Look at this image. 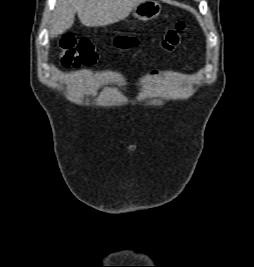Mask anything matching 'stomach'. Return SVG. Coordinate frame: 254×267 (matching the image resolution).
Wrapping results in <instances>:
<instances>
[{
  "mask_svg": "<svg viewBox=\"0 0 254 267\" xmlns=\"http://www.w3.org/2000/svg\"><path fill=\"white\" fill-rule=\"evenodd\" d=\"M161 8L155 0H145L132 10V15L138 20L149 21L160 14Z\"/></svg>",
  "mask_w": 254,
  "mask_h": 267,
  "instance_id": "obj_1",
  "label": "stomach"
}]
</instances>
